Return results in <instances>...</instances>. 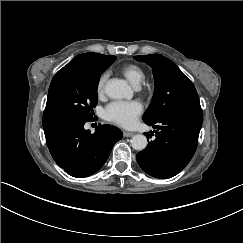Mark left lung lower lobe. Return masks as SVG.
Segmentation results:
<instances>
[{
  "instance_id": "1",
  "label": "left lung lower lobe",
  "mask_w": 243,
  "mask_h": 243,
  "mask_svg": "<svg viewBox=\"0 0 243 243\" xmlns=\"http://www.w3.org/2000/svg\"><path fill=\"white\" fill-rule=\"evenodd\" d=\"M202 122V109L179 108L148 124L157 129L156 139L136 155L139 166L155 178L177 175L196 151Z\"/></svg>"
}]
</instances>
